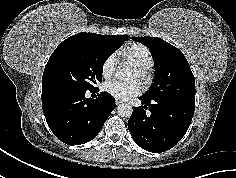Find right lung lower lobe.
Here are the masks:
<instances>
[{"label": "right lung lower lobe", "instance_id": "98d812e1", "mask_svg": "<svg viewBox=\"0 0 236 178\" xmlns=\"http://www.w3.org/2000/svg\"><path fill=\"white\" fill-rule=\"evenodd\" d=\"M86 91L42 89L47 124L54 135L68 145L84 144L95 138L115 109L114 98L107 93L101 92L93 99L85 97Z\"/></svg>", "mask_w": 236, "mask_h": 178}]
</instances>
